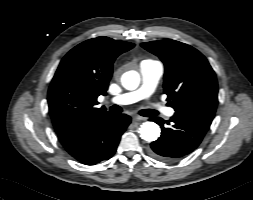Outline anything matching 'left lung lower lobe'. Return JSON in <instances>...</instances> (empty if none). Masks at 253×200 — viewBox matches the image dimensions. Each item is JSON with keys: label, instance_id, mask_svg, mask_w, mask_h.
<instances>
[{"label": "left lung lower lobe", "instance_id": "obj_1", "mask_svg": "<svg viewBox=\"0 0 253 200\" xmlns=\"http://www.w3.org/2000/svg\"><path fill=\"white\" fill-rule=\"evenodd\" d=\"M161 136L151 143L150 153L162 160H174L191 153L202 141L210 123L186 114L175 113L169 120L153 117Z\"/></svg>", "mask_w": 253, "mask_h": 200}]
</instances>
